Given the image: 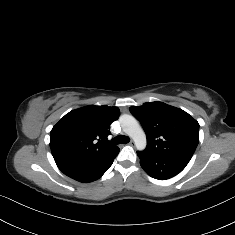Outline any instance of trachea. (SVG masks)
Here are the masks:
<instances>
[{
	"label": "trachea",
	"mask_w": 235,
	"mask_h": 235,
	"mask_svg": "<svg viewBox=\"0 0 235 235\" xmlns=\"http://www.w3.org/2000/svg\"><path fill=\"white\" fill-rule=\"evenodd\" d=\"M130 141V138L128 136H116L111 140L112 144H126Z\"/></svg>",
	"instance_id": "3493384b"
}]
</instances>
